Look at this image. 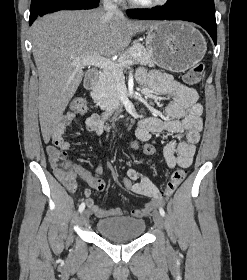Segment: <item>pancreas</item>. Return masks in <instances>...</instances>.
I'll return each instance as SVG.
<instances>
[{"instance_id":"obj_1","label":"pancreas","mask_w":247,"mask_h":280,"mask_svg":"<svg viewBox=\"0 0 247 280\" xmlns=\"http://www.w3.org/2000/svg\"><path fill=\"white\" fill-rule=\"evenodd\" d=\"M128 61H132V64L148 65L149 67H154L155 63L151 54L139 43L134 44L122 53L117 63L122 64ZM126 67L122 66L117 71L104 69L100 74L98 84L92 93V98L101 109L112 110L119 106L118 83L123 79V71Z\"/></svg>"}]
</instances>
